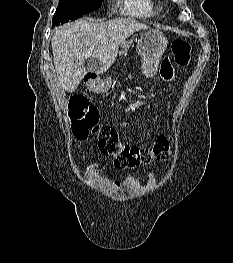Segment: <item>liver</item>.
<instances>
[{"label":"liver","instance_id":"liver-1","mask_svg":"<svg viewBox=\"0 0 233 263\" xmlns=\"http://www.w3.org/2000/svg\"><path fill=\"white\" fill-rule=\"evenodd\" d=\"M131 18H115L94 23L78 20L58 27L51 39L55 71L59 85L68 92L77 89L87 73L90 58L97 74L105 73L114 63L120 44L134 32L148 29ZM93 48L91 53L88 50Z\"/></svg>","mask_w":233,"mask_h":263}]
</instances>
